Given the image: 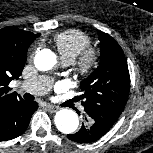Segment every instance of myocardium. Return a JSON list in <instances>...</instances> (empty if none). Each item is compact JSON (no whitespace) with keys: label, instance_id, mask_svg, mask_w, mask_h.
<instances>
[{"label":"myocardium","instance_id":"1","mask_svg":"<svg viewBox=\"0 0 153 153\" xmlns=\"http://www.w3.org/2000/svg\"><path fill=\"white\" fill-rule=\"evenodd\" d=\"M100 54L99 51L88 46L85 48L77 58L75 69L78 76L87 78L93 74L99 64Z\"/></svg>","mask_w":153,"mask_h":153}]
</instances>
